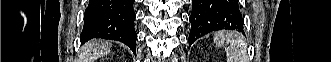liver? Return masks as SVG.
Masks as SVG:
<instances>
[{
    "label": "liver",
    "instance_id": "1",
    "mask_svg": "<svg viewBox=\"0 0 331 62\" xmlns=\"http://www.w3.org/2000/svg\"><path fill=\"white\" fill-rule=\"evenodd\" d=\"M112 43L106 40H90L82 48L83 62H94L110 52Z\"/></svg>",
    "mask_w": 331,
    "mask_h": 62
}]
</instances>
